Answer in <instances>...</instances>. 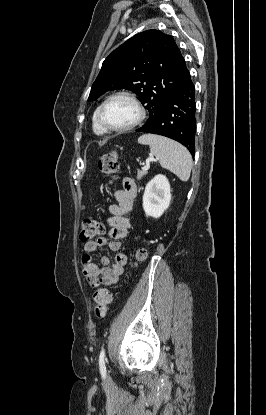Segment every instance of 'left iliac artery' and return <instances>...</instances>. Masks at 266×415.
Masks as SVG:
<instances>
[{
  "instance_id": "1",
  "label": "left iliac artery",
  "mask_w": 266,
  "mask_h": 415,
  "mask_svg": "<svg viewBox=\"0 0 266 415\" xmlns=\"http://www.w3.org/2000/svg\"><path fill=\"white\" fill-rule=\"evenodd\" d=\"M105 350L102 349L99 355V367H100V372L105 375L106 374V366H105Z\"/></svg>"
}]
</instances>
